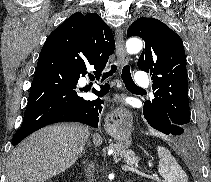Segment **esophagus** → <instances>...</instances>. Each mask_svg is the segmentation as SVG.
Here are the masks:
<instances>
[{
	"label": "esophagus",
	"instance_id": "34e87169",
	"mask_svg": "<svg viewBox=\"0 0 211 182\" xmlns=\"http://www.w3.org/2000/svg\"><path fill=\"white\" fill-rule=\"evenodd\" d=\"M115 38H116V55H117V62L120 67L124 66L127 63V56L125 53V48H124V35L123 31L121 29H117L115 33ZM119 96L115 95L114 100H118ZM124 111L123 108L118 109V113L115 114V116H120L122 112Z\"/></svg>",
	"mask_w": 211,
	"mask_h": 182
}]
</instances>
